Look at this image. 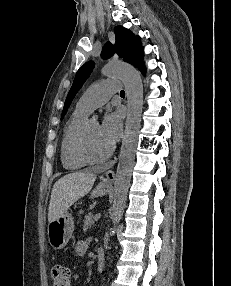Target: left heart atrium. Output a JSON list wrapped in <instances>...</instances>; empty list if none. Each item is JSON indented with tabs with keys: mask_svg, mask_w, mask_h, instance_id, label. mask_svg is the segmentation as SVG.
<instances>
[{
	"mask_svg": "<svg viewBox=\"0 0 231 286\" xmlns=\"http://www.w3.org/2000/svg\"><path fill=\"white\" fill-rule=\"evenodd\" d=\"M100 132L106 142L112 146L119 140L122 133V118L119 112H109L105 115Z\"/></svg>",
	"mask_w": 231,
	"mask_h": 286,
	"instance_id": "39dd6f15",
	"label": "left heart atrium"
}]
</instances>
